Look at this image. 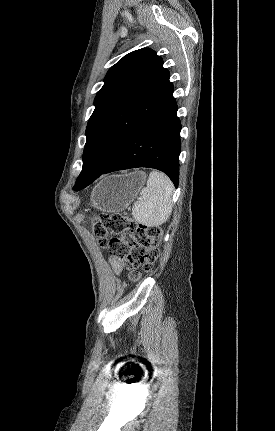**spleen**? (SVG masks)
Instances as JSON below:
<instances>
[{"label": "spleen", "instance_id": "1", "mask_svg": "<svg viewBox=\"0 0 275 431\" xmlns=\"http://www.w3.org/2000/svg\"><path fill=\"white\" fill-rule=\"evenodd\" d=\"M173 192L171 180L164 173L152 171L147 186L141 190V196L133 204V218L150 227L162 225L172 213Z\"/></svg>", "mask_w": 275, "mask_h": 431}]
</instances>
